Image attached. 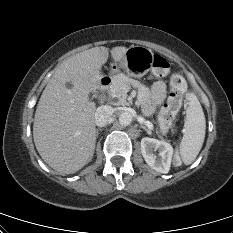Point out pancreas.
I'll return each instance as SVG.
<instances>
[{"label":"pancreas","instance_id":"obj_1","mask_svg":"<svg viewBox=\"0 0 233 233\" xmlns=\"http://www.w3.org/2000/svg\"><path fill=\"white\" fill-rule=\"evenodd\" d=\"M130 86H133L138 89V92L141 96L140 99L141 102L148 99L149 89L146 86H144L137 80L127 77L124 74H120L115 77V81L111 89V95L118 99V105H123V106L128 105V102L126 100L127 98L126 90Z\"/></svg>","mask_w":233,"mask_h":233}]
</instances>
